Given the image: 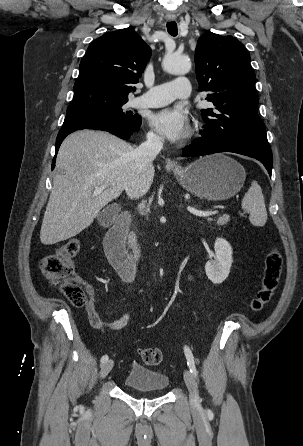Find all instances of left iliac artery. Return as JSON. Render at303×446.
<instances>
[{"label":"left iliac artery","mask_w":303,"mask_h":446,"mask_svg":"<svg viewBox=\"0 0 303 446\" xmlns=\"http://www.w3.org/2000/svg\"><path fill=\"white\" fill-rule=\"evenodd\" d=\"M184 352H185V356L187 359V365L190 369V372L194 375V377L197 378L198 373L196 370L193 354H192L191 350L189 349V347H187V346L184 347Z\"/></svg>","instance_id":"left-iliac-artery-1"}]
</instances>
